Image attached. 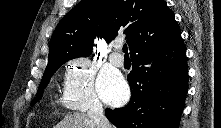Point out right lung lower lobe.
<instances>
[{
    "instance_id": "98d812e1",
    "label": "right lung lower lobe",
    "mask_w": 221,
    "mask_h": 128,
    "mask_svg": "<svg viewBox=\"0 0 221 128\" xmlns=\"http://www.w3.org/2000/svg\"><path fill=\"white\" fill-rule=\"evenodd\" d=\"M131 59L130 102L122 108L106 109V117L117 128H178L189 81L182 38Z\"/></svg>"
}]
</instances>
